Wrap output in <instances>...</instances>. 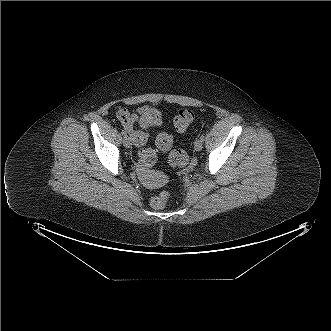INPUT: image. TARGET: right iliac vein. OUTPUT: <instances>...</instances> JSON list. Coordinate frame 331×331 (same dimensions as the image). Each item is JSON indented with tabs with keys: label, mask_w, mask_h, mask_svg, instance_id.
<instances>
[{
	"label": "right iliac vein",
	"mask_w": 331,
	"mask_h": 331,
	"mask_svg": "<svg viewBox=\"0 0 331 331\" xmlns=\"http://www.w3.org/2000/svg\"><path fill=\"white\" fill-rule=\"evenodd\" d=\"M123 145L124 147L126 148H130L132 143H131V140L128 136H125L124 139H123Z\"/></svg>",
	"instance_id": "63e3f726"
}]
</instances>
